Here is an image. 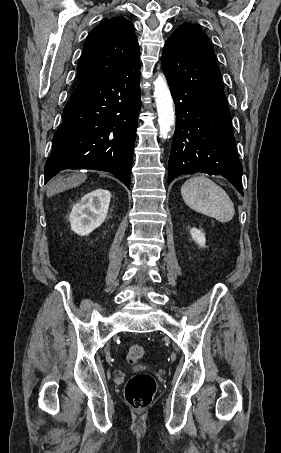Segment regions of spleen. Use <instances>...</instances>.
Segmentation results:
<instances>
[{"label": "spleen", "mask_w": 281, "mask_h": 453, "mask_svg": "<svg viewBox=\"0 0 281 453\" xmlns=\"http://www.w3.org/2000/svg\"><path fill=\"white\" fill-rule=\"evenodd\" d=\"M181 194L190 208L213 216L219 222H228L235 214L230 196L207 176H194L186 180L182 184Z\"/></svg>", "instance_id": "spleen-1"}]
</instances>
